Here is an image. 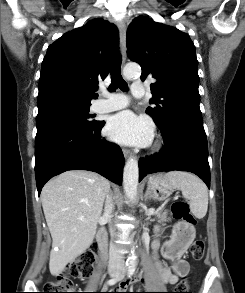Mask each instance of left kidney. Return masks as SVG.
Listing matches in <instances>:
<instances>
[{"label":"left kidney","mask_w":245,"mask_h":293,"mask_svg":"<svg viewBox=\"0 0 245 293\" xmlns=\"http://www.w3.org/2000/svg\"><path fill=\"white\" fill-rule=\"evenodd\" d=\"M155 231H159V227L155 226L154 227Z\"/></svg>","instance_id":"5707ae66"}]
</instances>
